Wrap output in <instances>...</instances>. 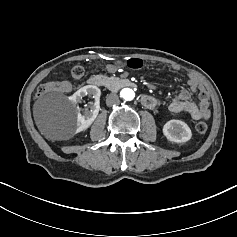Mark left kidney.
Wrapping results in <instances>:
<instances>
[{"label": "left kidney", "instance_id": "left-kidney-1", "mask_svg": "<svg viewBox=\"0 0 237 237\" xmlns=\"http://www.w3.org/2000/svg\"><path fill=\"white\" fill-rule=\"evenodd\" d=\"M162 132L166 139L173 143H185L192 138L190 127L182 120H169L163 126Z\"/></svg>", "mask_w": 237, "mask_h": 237}]
</instances>
